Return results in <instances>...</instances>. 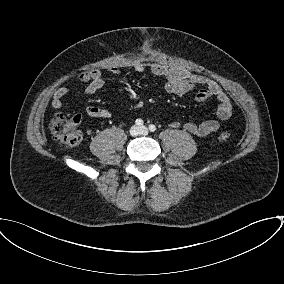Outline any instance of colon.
Here are the masks:
<instances>
[{
  "label": "colon",
  "mask_w": 284,
  "mask_h": 284,
  "mask_svg": "<svg viewBox=\"0 0 284 284\" xmlns=\"http://www.w3.org/2000/svg\"><path fill=\"white\" fill-rule=\"evenodd\" d=\"M80 122V117H69L64 113H56L50 121V131L53 137L67 145H77L82 139L83 135L80 130H78V124ZM231 134L229 132H222L219 135L221 140L229 139Z\"/></svg>",
  "instance_id": "obj_1"
}]
</instances>
